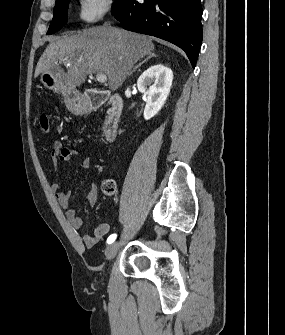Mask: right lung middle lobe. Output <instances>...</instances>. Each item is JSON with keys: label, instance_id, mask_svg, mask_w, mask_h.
Masks as SVG:
<instances>
[{"label": "right lung middle lobe", "instance_id": "obj_1", "mask_svg": "<svg viewBox=\"0 0 285 335\" xmlns=\"http://www.w3.org/2000/svg\"><path fill=\"white\" fill-rule=\"evenodd\" d=\"M70 0H62L56 3L54 7V16L50 24L47 35L54 34L59 31L67 22V9Z\"/></svg>", "mask_w": 285, "mask_h": 335}]
</instances>
